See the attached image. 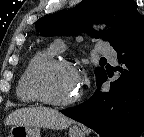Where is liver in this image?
Instances as JSON below:
<instances>
[{"label": "liver", "instance_id": "1", "mask_svg": "<svg viewBox=\"0 0 144 137\" xmlns=\"http://www.w3.org/2000/svg\"><path fill=\"white\" fill-rule=\"evenodd\" d=\"M73 121L59 111L47 107L21 108L12 112L5 125H24L45 127L49 129H65Z\"/></svg>", "mask_w": 144, "mask_h": 137}]
</instances>
